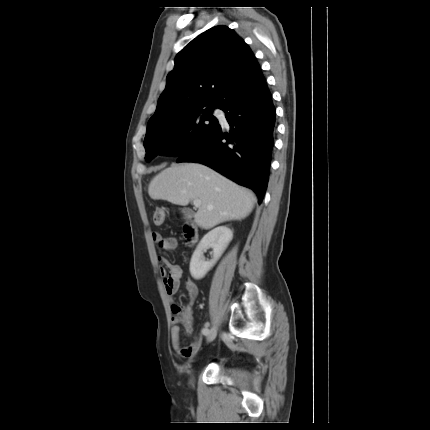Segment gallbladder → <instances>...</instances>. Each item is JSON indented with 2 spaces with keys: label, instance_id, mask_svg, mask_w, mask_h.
<instances>
[{
  "label": "gallbladder",
  "instance_id": "bac80fb5",
  "mask_svg": "<svg viewBox=\"0 0 430 430\" xmlns=\"http://www.w3.org/2000/svg\"><path fill=\"white\" fill-rule=\"evenodd\" d=\"M181 213H182V218H191L192 216H193V211L192 210H190V209H183L182 211H181Z\"/></svg>",
  "mask_w": 430,
  "mask_h": 430
}]
</instances>
